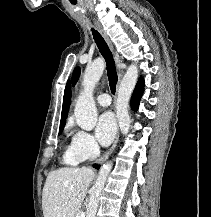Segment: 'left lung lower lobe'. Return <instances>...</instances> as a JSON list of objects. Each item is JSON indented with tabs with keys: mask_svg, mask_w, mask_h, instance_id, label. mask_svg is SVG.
I'll return each instance as SVG.
<instances>
[{
	"mask_svg": "<svg viewBox=\"0 0 211 217\" xmlns=\"http://www.w3.org/2000/svg\"><path fill=\"white\" fill-rule=\"evenodd\" d=\"M143 90H144V80L141 77L137 82V85L135 87V90L133 92L132 99H131V107L135 111L139 107V102H140V99L142 97Z\"/></svg>",
	"mask_w": 211,
	"mask_h": 217,
	"instance_id": "1",
	"label": "left lung lower lobe"
}]
</instances>
